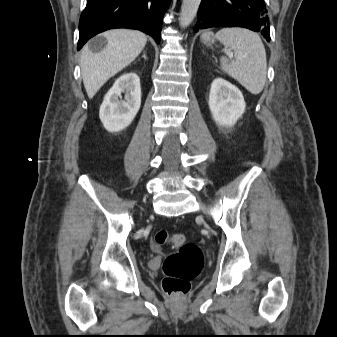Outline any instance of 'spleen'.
<instances>
[{"mask_svg": "<svg viewBox=\"0 0 337 337\" xmlns=\"http://www.w3.org/2000/svg\"><path fill=\"white\" fill-rule=\"evenodd\" d=\"M215 38L233 50L235 61L221 57V68L251 94L262 92L267 75L265 47L259 35L245 28H223Z\"/></svg>", "mask_w": 337, "mask_h": 337, "instance_id": "spleen-1", "label": "spleen"}]
</instances>
